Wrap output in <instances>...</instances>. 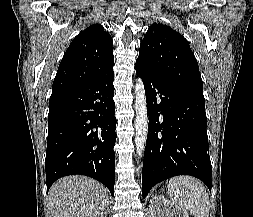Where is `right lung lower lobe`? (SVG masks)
I'll use <instances>...</instances> for the list:
<instances>
[{"label": "right lung lower lobe", "mask_w": 253, "mask_h": 217, "mask_svg": "<svg viewBox=\"0 0 253 217\" xmlns=\"http://www.w3.org/2000/svg\"><path fill=\"white\" fill-rule=\"evenodd\" d=\"M114 72L49 101L45 159L47 190L60 177L82 174L104 184L114 196L116 141Z\"/></svg>", "instance_id": "98d812e1"}]
</instances>
